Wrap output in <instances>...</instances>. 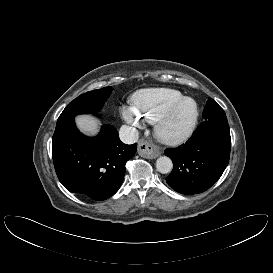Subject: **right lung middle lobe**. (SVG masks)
<instances>
[{"instance_id": "1", "label": "right lung middle lobe", "mask_w": 273, "mask_h": 273, "mask_svg": "<svg viewBox=\"0 0 273 273\" xmlns=\"http://www.w3.org/2000/svg\"><path fill=\"white\" fill-rule=\"evenodd\" d=\"M112 87L86 92L70 102L57 120V124L73 119L78 114H95L100 110Z\"/></svg>"}]
</instances>
